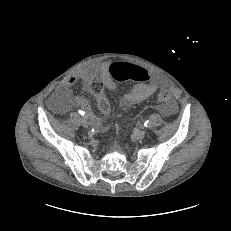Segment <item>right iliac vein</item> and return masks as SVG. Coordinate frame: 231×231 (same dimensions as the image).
<instances>
[{"label":"right iliac vein","mask_w":231,"mask_h":231,"mask_svg":"<svg viewBox=\"0 0 231 231\" xmlns=\"http://www.w3.org/2000/svg\"><path fill=\"white\" fill-rule=\"evenodd\" d=\"M81 124H82V126L83 127H85V128H88L89 127V123H88V121L86 120V119H81Z\"/></svg>","instance_id":"right-iliac-vein-1"}]
</instances>
